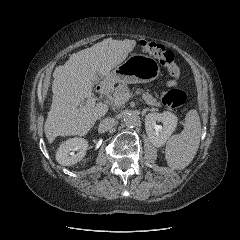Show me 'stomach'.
Wrapping results in <instances>:
<instances>
[{
    "label": "stomach",
    "mask_w": 240,
    "mask_h": 240,
    "mask_svg": "<svg viewBox=\"0 0 240 240\" xmlns=\"http://www.w3.org/2000/svg\"><path fill=\"white\" fill-rule=\"evenodd\" d=\"M160 74L157 61L147 55L131 54L108 75L106 81L111 83H148Z\"/></svg>",
    "instance_id": "0dacf381"
}]
</instances>
